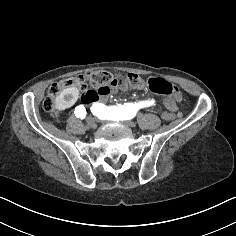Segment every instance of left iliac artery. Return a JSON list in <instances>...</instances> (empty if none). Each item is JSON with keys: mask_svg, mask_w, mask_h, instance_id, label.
<instances>
[{"mask_svg": "<svg viewBox=\"0 0 236 236\" xmlns=\"http://www.w3.org/2000/svg\"><path fill=\"white\" fill-rule=\"evenodd\" d=\"M155 101H141L138 103H124V105L118 104V106L107 107L102 103H93L91 112L101 120H130L135 117L137 111L140 108L149 107L154 104Z\"/></svg>", "mask_w": 236, "mask_h": 236, "instance_id": "left-iliac-artery-1", "label": "left iliac artery"}]
</instances>
